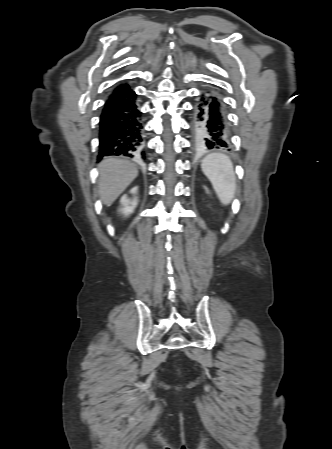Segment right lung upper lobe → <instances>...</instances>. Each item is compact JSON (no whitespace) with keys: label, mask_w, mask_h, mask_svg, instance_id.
Listing matches in <instances>:
<instances>
[{"label":"right lung upper lobe","mask_w":332,"mask_h":449,"mask_svg":"<svg viewBox=\"0 0 332 449\" xmlns=\"http://www.w3.org/2000/svg\"><path fill=\"white\" fill-rule=\"evenodd\" d=\"M128 89H130V87H129L128 84H120L119 86H117V87L113 90V92H123V91H126V90H128Z\"/></svg>","instance_id":"1"}]
</instances>
